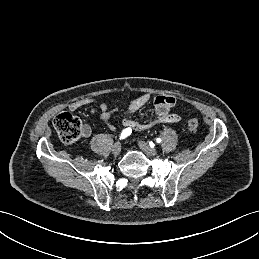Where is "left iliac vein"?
Wrapping results in <instances>:
<instances>
[{
  "label": "left iliac vein",
  "instance_id": "1",
  "mask_svg": "<svg viewBox=\"0 0 259 259\" xmlns=\"http://www.w3.org/2000/svg\"><path fill=\"white\" fill-rule=\"evenodd\" d=\"M138 145L140 147V149L147 155L149 156H155L157 154V150L151 146H149L148 143H146L145 141L140 140L138 142Z\"/></svg>",
  "mask_w": 259,
  "mask_h": 259
}]
</instances>
